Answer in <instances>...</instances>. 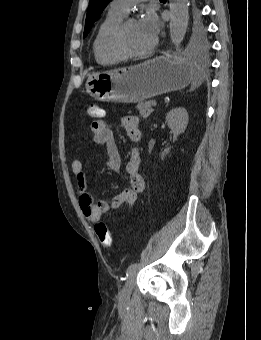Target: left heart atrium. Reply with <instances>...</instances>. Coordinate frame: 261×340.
I'll list each match as a JSON object with an SVG mask.
<instances>
[{
	"label": "left heart atrium",
	"instance_id": "39dd6f15",
	"mask_svg": "<svg viewBox=\"0 0 261 340\" xmlns=\"http://www.w3.org/2000/svg\"><path fill=\"white\" fill-rule=\"evenodd\" d=\"M139 23L143 30L151 37L155 38V36L158 34L160 22L154 12L148 11Z\"/></svg>",
	"mask_w": 261,
	"mask_h": 340
}]
</instances>
